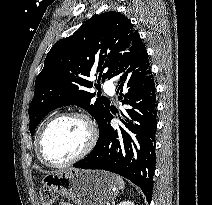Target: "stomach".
Masks as SVG:
<instances>
[{"label": "stomach", "mask_w": 212, "mask_h": 205, "mask_svg": "<svg viewBox=\"0 0 212 205\" xmlns=\"http://www.w3.org/2000/svg\"><path fill=\"white\" fill-rule=\"evenodd\" d=\"M43 185L75 205H106L120 192L115 175L101 170H62L44 176Z\"/></svg>", "instance_id": "stomach-1"}]
</instances>
